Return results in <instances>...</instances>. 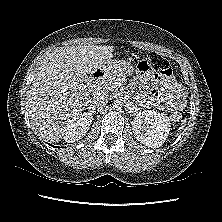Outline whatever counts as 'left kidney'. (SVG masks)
Instances as JSON below:
<instances>
[{
  "label": "left kidney",
  "instance_id": "1",
  "mask_svg": "<svg viewBox=\"0 0 222 222\" xmlns=\"http://www.w3.org/2000/svg\"><path fill=\"white\" fill-rule=\"evenodd\" d=\"M170 119L157 111L145 110L132 121L135 138L150 148L160 147L170 132Z\"/></svg>",
  "mask_w": 222,
  "mask_h": 222
}]
</instances>
